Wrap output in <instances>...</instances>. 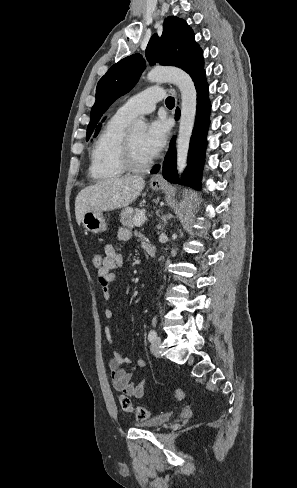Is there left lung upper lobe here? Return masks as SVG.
<instances>
[{"mask_svg": "<svg viewBox=\"0 0 297 488\" xmlns=\"http://www.w3.org/2000/svg\"><path fill=\"white\" fill-rule=\"evenodd\" d=\"M146 59L151 65L159 62L179 67L192 79L204 71L202 50L194 41L191 28L186 21L174 16L165 19L160 39L157 34L151 37L146 48ZM144 68L142 55L134 54L114 64L99 80L87 128V140L103 113L117 98L135 86Z\"/></svg>", "mask_w": 297, "mask_h": 488, "instance_id": "left-lung-upper-lobe-1", "label": "left lung upper lobe"}]
</instances>
